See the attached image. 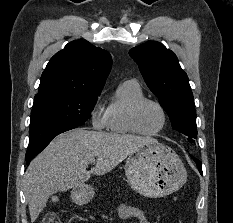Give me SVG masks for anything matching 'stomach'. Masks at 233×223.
<instances>
[{
  "mask_svg": "<svg viewBox=\"0 0 233 223\" xmlns=\"http://www.w3.org/2000/svg\"><path fill=\"white\" fill-rule=\"evenodd\" d=\"M124 169L130 187L144 197H163L187 181L180 157L164 143H145L128 155ZM93 197L95 189L90 183H82L71 191V199L77 205H86Z\"/></svg>",
  "mask_w": 233,
  "mask_h": 223,
  "instance_id": "obj_1",
  "label": "stomach"
}]
</instances>
